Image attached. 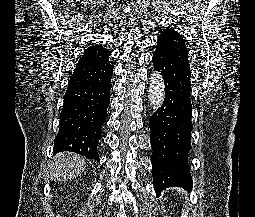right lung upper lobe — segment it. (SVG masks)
Here are the masks:
<instances>
[{"label":"right lung upper lobe","instance_id":"right-lung-upper-lobe-1","mask_svg":"<svg viewBox=\"0 0 255 217\" xmlns=\"http://www.w3.org/2000/svg\"><path fill=\"white\" fill-rule=\"evenodd\" d=\"M110 54L111 52L105 49L102 45L93 44L83 52V55L78 60L77 64L100 62L109 59Z\"/></svg>","mask_w":255,"mask_h":217}]
</instances>
